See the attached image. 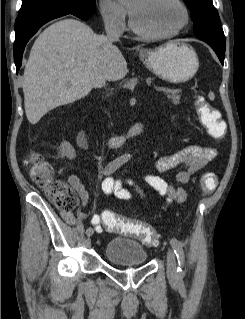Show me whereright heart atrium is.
<instances>
[{"label": "right heart atrium", "instance_id": "d8ad5b80", "mask_svg": "<svg viewBox=\"0 0 245 319\" xmlns=\"http://www.w3.org/2000/svg\"><path fill=\"white\" fill-rule=\"evenodd\" d=\"M100 13L107 28L121 33L126 27V10L115 0H100Z\"/></svg>", "mask_w": 245, "mask_h": 319}]
</instances>
